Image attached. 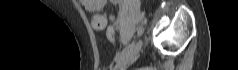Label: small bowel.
Masks as SVG:
<instances>
[{
  "label": "small bowel",
  "instance_id": "obj_1",
  "mask_svg": "<svg viewBox=\"0 0 238 70\" xmlns=\"http://www.w3.org/2000/svg\"><path fill=\"white\" fill-rule=\"evenodd\" d=\"M80 2L85 10L95 13L92 17L91 23L96 30H103L109 21L115 20L114 15L99 13L105 5V0H80ZM113 3H119V1L113 0Z\"/></svg>",
  "mask_w": 238,
  "mask_h": 70
}]
</instances>
